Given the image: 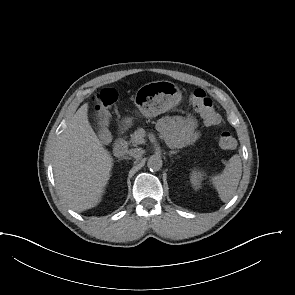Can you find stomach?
<instances>
[{"label":"stomach","instance_id":"obj_1","mask_svg":"<svg viewBox=\"0 0 295 295\" xmlns=\"http://www.w3.org/2000/svg\"><path fill=\"white\" fill-rule=\"evenodd\" d=\"M182 93L178 86L170 81L162 80L145 84L138 89L135 103L141 113L147 117H156L179 104ZM124 123L130 125L131 118Z\"/></svg>","mask_w":295,"mask_h":295}]
</instances>
